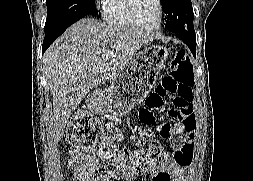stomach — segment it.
Segmentation results:
<instances>
[{"instance_id": "1", "label": "stomach", "mask_w": 253, "mask_h": 181, "mask_svg": "<svg viewBox=\"0 0 253 181\" xmlns=\"http://www.w3.org/2000/svg\"><path fill=\"white\" fill-rule=\"evenodd\" d=\"M171 48L154 44L135 53L112 79L109 88L92 92L87 103L97 114L123 116L142 102L165 68Z\"/></svg>"}]
</instances>
